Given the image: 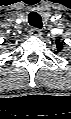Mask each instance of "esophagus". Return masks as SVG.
I'll return each mask as SVG.
<instances>
[{"mask_svg": "<svg viewBox=\"0 0 71 119\" xmlns=\"http://www.w3.org/2000/svg\"><path fill=\"white\" fill-rule=\"evenodd\" d=\"M41 34H42V31L38 28H32L30 30V35H32V36L39 37V36H41Z\"/></svg>", "mask_w": 71, "mask_h": 119, "instance_id": "34e87169", "label": "esophagus"}]
</instances>
